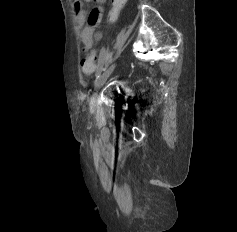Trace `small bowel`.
Returning <instances> with one entry per match:
<instances>
[{
	"label": "small bowel",
	"instance_id": "small-bowel-1",
	"mask_svg": "<svg viewBox=\"0 0 237 232\" xmlns=\"http://www.w3.org/2000/svg\"><path fill=\"white\" fill-rule=\"evenodd\" d=\"M93 0H77L75 8L77 12V23L82 28L81 43L83 50L89 49L94 42L99 41L102 34L97 31V27L101 25L104 16V4L107 0H94L98 6L94 7L87 17L86 11L83 9V3Z\"/></svg>",
	"mask_w": 237,
	"mask_h": 232
}]
</instances>
